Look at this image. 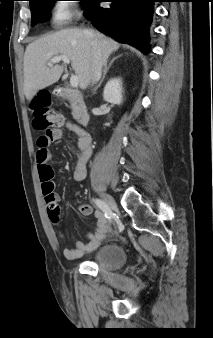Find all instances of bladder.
I'll list each match as a JSON object with an SVG mask.
<instances>
[{
	"label": "bladder",
	"mask_w": 213,
	"mask_h": 338,
	"mask_svg": "<svg viewBox=\"0 0 213 338\" xmlns=\"http://www.w3.org/2000/svg\"><path fill=\"white\" fill-rule=\"evenodd\" d=\"M127 262L125 250L118 243H106L93 255L91 264L98 269L117 271Z\"/></svg>",
	"instance_id": "1"
}]
</instances>
